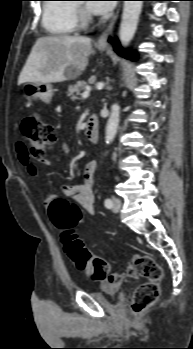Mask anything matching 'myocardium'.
I'll return each mask as SVG.
<instances>
[{
	"label": "myocardium",
	"instance_id": "obj_1",
	"mask_svg": "<svg viewBox=\"0 0 193 349\" xmlns=\"http://www.w3.org/2000/svg\"><path fill=\"white\" fill-rule=\"evenodd\" d=\"M77 26L86 27L91 22V15L83 4H77Z\"/></svg>",
	"mask_w": 193,
	"mask_h": 349
}]
</instances>
